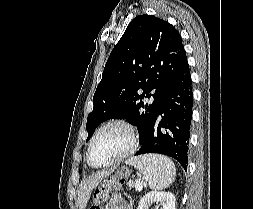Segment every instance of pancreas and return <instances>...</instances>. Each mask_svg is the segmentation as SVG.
I'll return each instance as SVG.
<instances>
[{"instance_id":"cf45deb5","label":"pancreas","mask_w":253,"mask_h":209,"mask_svg":"<svg viewBox=\"0 0 253 209\" xmlns=\"http://www.w3.org/2000/svg\"><path fill=\"white\" fill-rule=\"evenodd\" d=\"M127 185H128V187L131 189V188H133V187H136V183H134L133 181H129L128 183H127Z\"/></svg>"}]
</instances>
